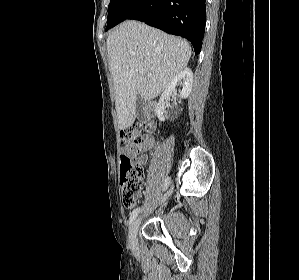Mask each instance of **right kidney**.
Returning <instances> with one entry per match:
<instances>
[{
	"label": "right kidney",
	"mask_w": 299,
	"mask_h": 280,
	"mask_svg": "<svg viewBox=\"0 0 299 280\" xmlns=\"http://www.w3.org/2000/svg\"><path fill=\"white\" fill-rule=\"evenodd\" d=\"M179 82H183V89L179 91V96L182 99H186L189 96L193 85V73L191 69L186 67L181 70L173 78V80L169 83V85L161 95L159 103L156 107V114L160 121H164L166 118V116L164 115L166 113L165 100L168 99L173 92H175V88Z\"/></svg>",
	"instance_id": "ca27d5eb"
}]
</instances>
